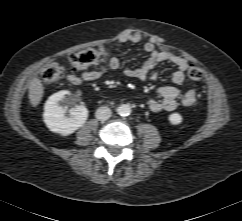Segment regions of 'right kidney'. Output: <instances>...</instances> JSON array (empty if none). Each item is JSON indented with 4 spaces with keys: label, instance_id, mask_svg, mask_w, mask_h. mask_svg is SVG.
Returning a JSON list of instances; mask_svg holds the SVG:
<instances>
[{
    "label": "right kidney",
    "instance_id": "1",
    "mask_svg": "<svg viewBox=\"0 0 242 221\" xmlns=\"http://www.w3.org/2000/svg\"><path fill=\"white\" fill-rule=\"evenodd\" d=\"M60 102L65 106H61ZM67 111L69 116H65ZM87 118V108L82 104L76 105V99L69 91H59L51 95L45 103L43 119L46 126L62 136L74 133L85 124Z\"/></svg>",
    "mask_w": 242,
    "mask_h": 221
}]
</instances>
